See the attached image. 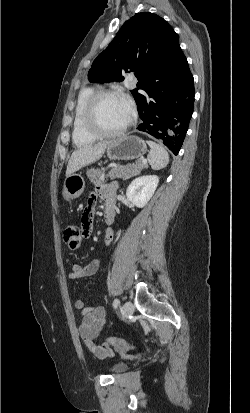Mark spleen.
<instances>
[{"instance_id": "1", "label": "spleen", "mask_w": 250, "mask_h": 413, "mask_svg": "<svg viewBox=\"0 0 250 413\" xmlns=\"http://www.w3.org/2000/svg\"><path fill=\"white\" fill-rule=\"evenodd\" d=\"M147 143L150 147V152L147 156V159L152 169L160 170L166 167L169 162L168 152L164 149L163 146L153 141H147Z\"/></svg>"}]
</instances>
